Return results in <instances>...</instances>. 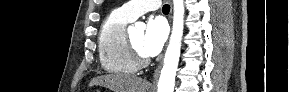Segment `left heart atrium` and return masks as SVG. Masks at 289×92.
<instances>
[{
  "mask_svg": "<svg viewBox=\"0 0 289 92\" xmlns=\"http://www.w3.org/2000/svg\"><path fill=\"white\" fill-rule=\"evenodd\" d=\"M168 27L160 17L150 18L147 22L143 39V52L148 57L160 53L167 39Z\"/></svg>",
  "mask_w": 289,
  "mask_h": 92,
  "instance_id": "39dd6f15",
  "label": "left heart atrium"
}]
</instances>
